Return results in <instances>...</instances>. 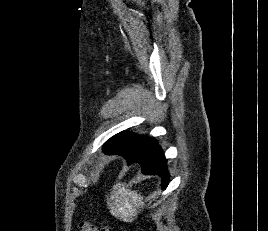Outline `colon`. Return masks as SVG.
<instances>
[{"label":"colon","instance_id":"colon-1","mask_svg":"<svg viewBox=\"0 0 268 231\" xmlns=\"http://www.w3.org/2000/svg\"><path fill=\"white\" fill-rule=\"evenodd\" d=\"M80 231H108L107 227H98L89 222H83L80 225Z\"/></svg>","mask_w":268,"mask_h":231}]
</instances>
